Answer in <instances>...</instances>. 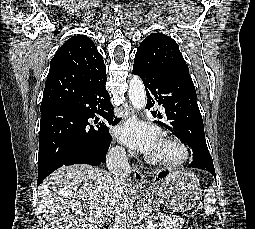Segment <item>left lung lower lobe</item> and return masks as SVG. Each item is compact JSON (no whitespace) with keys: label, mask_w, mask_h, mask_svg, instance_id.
I'll return each instance as SVG.
<instances>
[{"label":"left lung lower lobe","mask_w":255,"mask_h":229,"mask_svg":"<svg viewBox=\"0 0 255 229\" xmlns=\"http://www.w3.org/2000/svg\"><path fill=\"white\" fill-rule=\"evenodd\" d=\"M133 73L143 80L147 94V108L154 106L153 97L158 105H163L165 108L169 122H155L171 130L176 136L184 135L187 138V141L182 140V142H186L193 150V161L187 167L206 170L216 178L192 79L168 70H145L135 64ZM151 113L154 117L162 118L157 111ZM167 173L168 171L161 172L158 177L162 178Z\"/></svg>","instance_id":"obj_1"}]
</instances>
